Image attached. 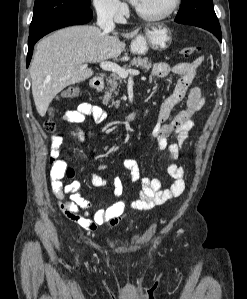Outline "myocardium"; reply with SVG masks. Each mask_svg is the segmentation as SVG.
<instances>
[{"label":"myocardium","mask_w":247,"mask_h":299,"mask_svg":"<svg viewBox=\"0 0 247 299\" xmlns=\"http://www.w3.org/2000/svg\"><path fill=\"white\" fill-rule=\"evenodd\" d=\"M180 0H170L169 5L160 12L157 13H147L144 12L137 7L135 8V11L139 17H141L144 20L147 21H160L167 17H169L179 6Z\"/></svg>","instance_id":"1"}]
</instances>
